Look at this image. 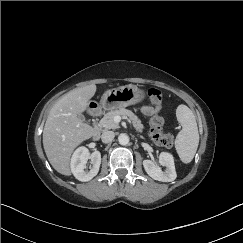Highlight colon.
<instances>
[{"label":"colon","instance_id":"colon-1","mask_svg":"<svg viewBox=\"0 0 243 243\" xmlns=\"http://www.w3.org/2000/svg\"><path fill=\"white\" fill-rule=\"evenodd\" d=\"M147 94L154 105L155 114L150 119V136L159 146L170 148L174 144V137L172 134L163 132L164 120L159 115V111L163 102V94L157 88H150Z\"/></svg>","mask_w":243,"mask_h":243}]
</instances>
